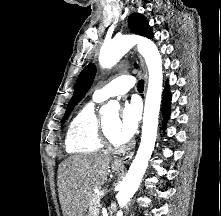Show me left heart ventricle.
<instances>
[{
  "label": "left heart ventricle",
  "instance_id": "obj_1",
  "mask_svg": "<svg viewBox=\"0 0 221 216\" xmlns=\"http://www.w3.org/2000/svg\"><path fill=\"white\" fill-rule=\"evenodd\" d=\"M118 119L119 118L117 114H110L109 116L105 118L104 121L111 137L115 141L119 142V141H122L123 139L120 137L118 133Z\"/></svg>",
  "mask_w": 221,
  "mask_h": 216
}]
</instances>
